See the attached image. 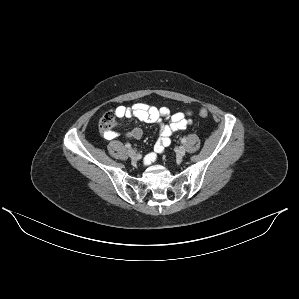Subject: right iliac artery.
Returning a JSON list of instances; mask_svg holds the SVG:
<instances>
[{"label": "right iliac artery", "mask_w": 299, "mask_h": 299, "mask_svg": "<svg viewBox=\"0 0 299 299\" xmlns=\"http://www.w3.org/2000/svg\"><path fill=\"white\" fill-rule=\"evenodd\" d=\"M125 147L129 149V148H131V144L126 143V144H125Z\"/></svg>", "instance_id": "right-iliac-artery-1"}]
</instances>
